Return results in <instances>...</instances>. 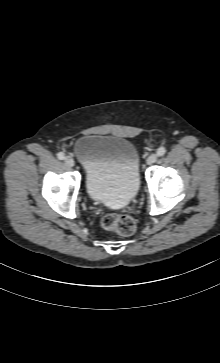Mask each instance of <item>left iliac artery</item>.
Wrapping results in <instances>:
<instances>
[{
    "instance_id": "1",
    "label": "left iliac artery",
    "mask_w": 220,
    "mask_h": 363,
    "mask_svg": "<svg viewBox=\"0 0 220 363\" xmlns=\"http://www.w3.org/2000/svg\"><path fill=\"white\" fill-rule=\"evenodd\" d=\"M165 153H166V148H165V147H160V148L157 150V155H158V156H163Z\"/></svg>"
}]
</instances>
